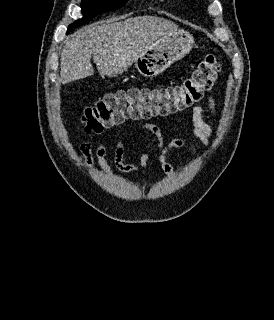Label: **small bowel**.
<instances>
[{"label":"small bowel","mask_w":274,"mask_h":320,"mask_svg":"<svg viewBox=\"0 0 274 320\" xmlns=\"http://www.w3.org/2000/svg\"><path fill=\"white\" fill-rule=\"evenodd\" d=\"M209 109L212 113L216 110V101L214 98L208 100ZM191 121L193 124V133L199 138L205 145L210 144V140L213 135L212 128L206 123L203 118V107L199 104L193 106L191 110ZM142 130L151 133L156 139L155 149L151 152L144 153L139 160V165H134L125 162V137L121 135L116 142L113 163L117 170L123 173L136 172L138 170H147L152 158L157 157L158 163L162 171L170 176L176 175L174 167L168 162L167 156L169 152L177 148H188L190 152L198 157L200 155L199 150L194 145L190 144L184 139L176 138L170 141H166L161 129L153 123H144L140 125ZM81 160L83 164L92 169L100 170L105 173L109 178L114 177V169L107 161V149L101 142L93 150V145L89 141H85L80 146Z\"/></svg>","instance_id":"1"}]
</instances>
